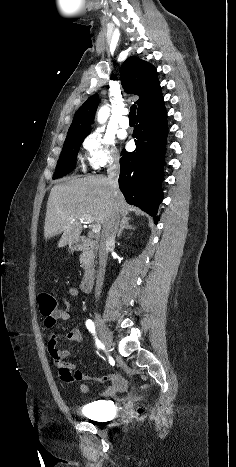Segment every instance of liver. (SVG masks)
Returning <instances> with one entry per match:
<instances>
[{
  "label": "liver",
  "mask_w": 236,
  "mask_h": 467,
  "mask_svg": "<svg viewBox=\"0 0 236 467\" xmlns=\"http://www.w3.org/2000/svg\"><path fill=\"white\" fill-rule=\"evenodd\" d=\"M129 206L118 190L115 196L108 178L88 176L71 178L53 186L48 202L44 237L62 234L58 247L75 242L82 231V219L91 216L104 227L111 218H127Z\"/></svg>",
  "instance_id": "6515ba94"
}]
</instances>
